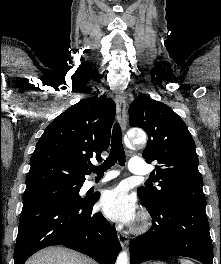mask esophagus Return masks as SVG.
Masks as SVG:
<instances>
[{
  "label": "esophagus",
  "mask_w": 221,
  "mask_h": 264,
  "mask_svg": "<svg viewBox=\"0 0 221 264\" xmlns=\"http://www.w3.org/2000/svg\"><path fill=\"white\" fill-rule=\"evenodd\" d=\"M116 104L118 109V118L122 130L126 129L127 119H126V101L123 95L116 96ZM118 239L122 247H125L129 243V238L123 232H118Z\"/></svg>",
  "instance_id": "esophagus-1"
}]
</instances>
